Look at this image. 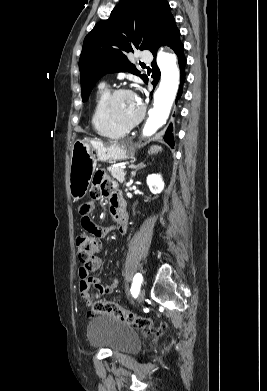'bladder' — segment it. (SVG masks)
Wrapping results in <instances>:
<instances>
[{
    "instance_id": "31cf9c89",
    "label": "bladder",
    "mask_w": 267,
    "mask_h": 391,
    "mask_svg": "<svg viewBox=\"0 0 267 391\" xmlns=\"http://www.w3.org/2000/svg\"><path fill=\"white\" fill-rule=\"evenodd\" d=\"M87 339L91 346L118 353H134L139 350V334L128 324L109 316L93 317L87 326Z\"/></svg>"
}]
</instances>
